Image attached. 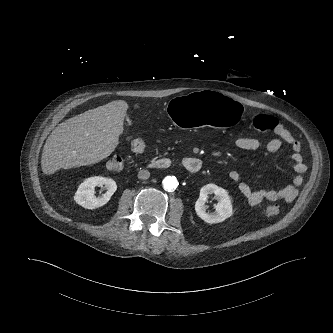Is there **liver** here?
Listing matches in <instances>:
<instances>
[{
  "instance_id": "liver-1",
  "label": "liver",
  "mask_w": 333,
  "mask_h": 333,
  "mask_svg": "<svg viewBox=\"0 0 333 333\" xmlns=\"http://www.w3.org/2000/svg\"><path fill=\"white\" fill-rule=\"evenodd\" d=\"M127 108V102L116 100L60 123L44 145L43 173L50 175L107 158L119 144Z\"/></svg>"
}]
</instances>
